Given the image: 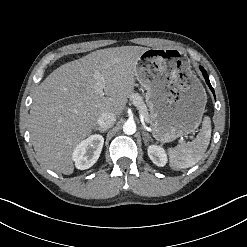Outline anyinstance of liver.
<instances>
[{
  "mask_svg": "<svg viewBox=\"0 0 247 247\" xmlns=\"http://www.w3.org/2000/svg\"><path fill=\"white\" fill-rule=\"evenodd\" d=\"M149 48L121 46L94 51L54 70L38 86L30 109L34 150L49 169L70 175L75 147L104 112L120 115L135 86V66ZM101 74L103 94L94 75Z\"/></svg>",
  "mask_w": 247,
  "mask_h": 247,
  "instance_id": "obj_1",
  "label": "liver"
}]
</instances>
